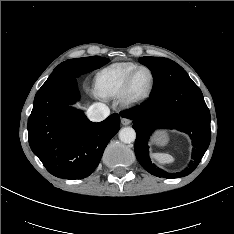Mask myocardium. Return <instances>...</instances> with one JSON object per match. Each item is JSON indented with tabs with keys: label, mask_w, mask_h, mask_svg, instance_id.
Segmentation results:
<instances>
[{
	"label": "myocardium",
	"mask_w": 234,
	"mask_h": 234,
	"mask_svg": "<svg viewBox=\"0 0 234 234\" xmlns=\"http://www.w3.org/2000/svg\"><path fill=\"white\" fill-rule=\"evenodd\" d=\"M140 70H147L150 73L151 82H150L149 88L147 89L146 92H144L141 95H133L132 91H131L132 82H133V79H134L135 75ZM154 84H155V75H154V72L149 67H147V66H138V67H136L130 73V75L127 77V79L125 81L123 89H122V91H121V93L119 95L120 103L124 107H132V106H135V105L143 102L151 94V92H152V90L154 88Z\"/></svg>",
	"instance_id": "f54148a6"
}]
</instances>
